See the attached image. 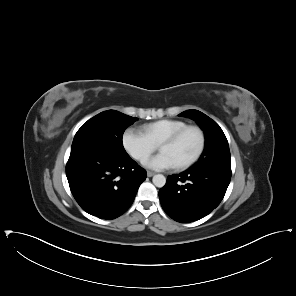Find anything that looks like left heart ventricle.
<instances>
[{"label": "left heart ventricle", "mask_w": 296, "mask_h": 296, "mask_svg": "<svg viewBox=\"0 0 296 296\" xmlns=\"http://www.w3.org/2000/svg\"><path fill=\"white\" fill-rule=\"evenodd\" d=\"M198 144V133L190 131L179 142L169 147L164 153H166L173 162H181L189 158L195 152Z\"/></svg>", "instance_id": "obj_1"}]
</instances>
